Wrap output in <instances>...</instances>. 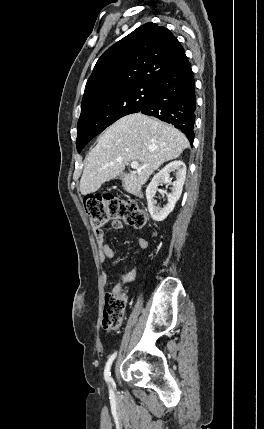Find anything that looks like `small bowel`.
Listing matches in <instances>:
<instances>
[{
	"label": "small bowel",
	"instance_id": "small-bowel-1",
	"mask_svg": "<svg viewBox=\"0 0 264 429\" xmlns=\"http://www.w3.org/2000/svg\"><path fill=\"white\" fill-rule=\"evenodd\" d=\"M111 227L113 230H120L123 227V224L120 220H113L111 222ZM96 242L100 252V261L101 263H105L106 260H112L115 256L113 249L109 246V244L105 241L104 234L102 231L95 233ZM138 246L141 250H146L148 247V242L145 238L140 237L138 239ZM136 277V268H133L127 272H124L120 275L119 283L115 285L114 291L119 292L122 290L121 285H125L127 283L132 282ZM106 279V276H105Z\"/></svg>",
	"mask_w": 264,
	"mask_h": 429
}]
</instances>
